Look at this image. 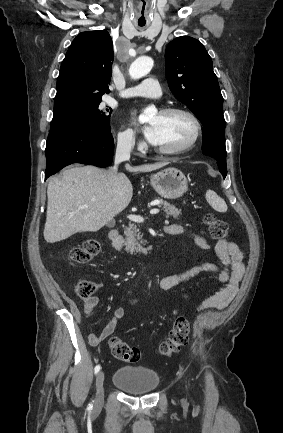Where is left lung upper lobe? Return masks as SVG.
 <instances>
[{
    "label": "left lung upper lobe",
    "mask_w": 283,
    "mask_h": 433,
    "mask_svg": "<svg viewBox=\"0 0 283 433\" xmlns=\"http://www.w3.org/2000/svg\"><path fill=\"white\" fill-rule=\"evenodd\" d=\"M165 67L170 90L201 121L203 135L217 134L224 141L223 97L204 46L188 36L172 40L166 48Z\"/></svg>",
    "instance_id": "obj_1"
}]
</instances>
